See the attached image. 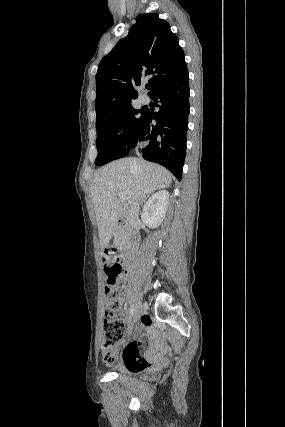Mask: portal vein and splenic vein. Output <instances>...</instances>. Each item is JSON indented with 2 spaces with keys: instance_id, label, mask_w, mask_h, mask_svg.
Returning a JSON list of instances; mask_svg holds the SVG:
<instances>
[{
  "instance_id": "1",
  "label": "portal vein and splenic vein",
  "mask_w": 285,
  "mask_h": 427,
  "mask_svg": "<svg viewBox=\"0 0 285 427\" xmlns=\"http://www.w3.org/2000/svg\"><path fill=\"white\" fill-rule=\"evenodd\" d=\"M118 197H119V199H120L122 202H126V197H125V195H124L123 193H119V194H118Z\"/></svg>"
}]
</instances>
